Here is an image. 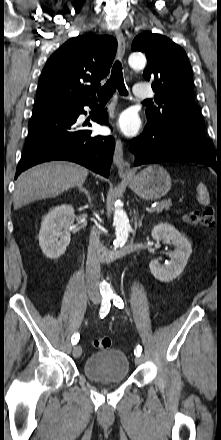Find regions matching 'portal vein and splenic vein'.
Here are the masks:
<instances>
[{"instance_id":"1","label":"portal vein and splenic vein","mask_w":221,"mask_h":440,"mask_svg":"<svg viewBox=\"0 0 221 440\" xmlns=\"http://www.w3.org/2000/svg\"><path fill=\"white\" fill-rule=\"evenodd\" d=\"M154 211V208L152 207V208H149V209H147V212L148 213H152Z\"/></svg>"}]
</instances>
